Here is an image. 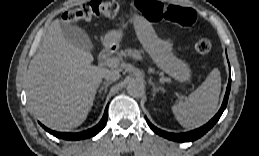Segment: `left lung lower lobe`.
I'll return each mask as SVG.
<instances>
[{"instance_id":"obj_1","label":"left lung lower lobe","mask_w":259,"mask_h":156,"mask_svg":"<svg viewBox=\"0 0 259 156\" xmlns=\"http://www.w3.org/2000/svg\"><path fill=\"white\" fill-rule=\"evenodd\" d=\"M230 88H231V77H229V82H228V86L226 89V94L222 103V106L220 108V110L218 111V113L204 126L189 131V132H185V133H179V134H175V133H170V132H166L163 130H160L159 128L155 127L154 125H152L149 120L146 118V121L148 123V125L150 126V128L157 134L172 140V141H178V142H188V141H194L200 137H202L206 132H208L214 125L215 123L219 120L220 116L222 115L223 111L225 110L226 106H227V101H228V97H229V93H230Z\"/></svg>"}]
</instances>
